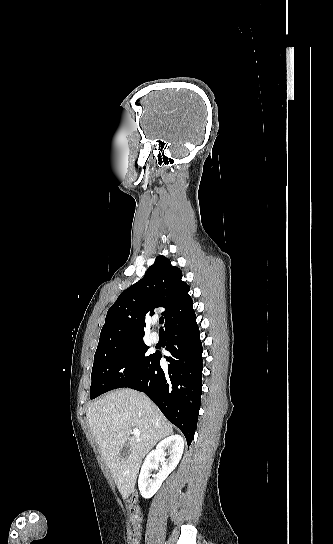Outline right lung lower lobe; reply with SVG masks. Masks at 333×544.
Wrapping results in <instances>:
<instances>
[{
  "label": "right lung lower lobe",
  "instance_id": "98d812e1",
  "mask_svg": "<svg viewBox=\"0 0 333 544\" xmlns=\"http://www.w3.org/2000/svg\"><path fill=\"white\" fill-rule=\"evenodd\" d=\"M168 369L160 366L161 355L154 354L141 378L128 388L146 393L165 417L185 435L191 444L197 426L202 394V352L196 315L166 328Z\"/></svg>",
  "mask_w": 333,
  "mask_h": 544
}]
</instances>
